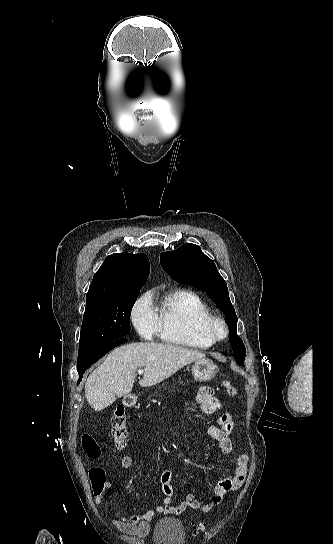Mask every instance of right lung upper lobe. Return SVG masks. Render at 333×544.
<instances>
[{"mask_svg":"<svg viewBox=\"0 0 333 544\" xmlns=\"http://www.w3.org/2000/svg\"><path fill=\"white\" fill-rule=\"evenodd\" d=\"M149 271V260L145 254L123 252L109 255L93 277L86 302L140 291Z\"/></svg>","mask_w":333,"mask_h":544,"instance_id":"obj_1","label":"right lung upper lobe"}]
</instances>
